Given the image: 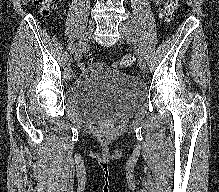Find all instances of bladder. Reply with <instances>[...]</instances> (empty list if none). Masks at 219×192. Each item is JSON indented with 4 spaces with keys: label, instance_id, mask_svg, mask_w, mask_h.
Masks as SVG:
<instances>
[{
    "label": "bladder",
    "instance_id": "bladder-1",
    "mask_svg": "<svg viewBox=\"0 0 219 192\" xmlns=\"http://www.w3.org/2000/svg\"><path fill=\"white\" fill-rule=\"evenodd\" d=\"M65 97L67 104L90 122H120L142 106L146 90L141 81L96 65L66 86Z\"/></svg>",
    "mask_w": 219,
    "mask_h": 192
}]
</instances>
